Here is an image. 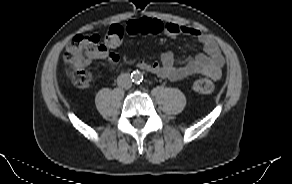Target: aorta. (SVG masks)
I'll return each instance as SVG.
<instances>
[{
  "label": "aorta",
  "instance_id": "1",
  "mask_svg": "<svg viewBox=\"0 0 292 184\" xmlns=\"http://www.w3.org/2000/svg\"><path fill=\"white\" fill-rule=\"evenodd\" d=\"M132 78L135 82H137V81L141 80V75L139 73H134L132 75Z\"/></svg>",
  "mask_w": 292,
  "mask_h": 184
}]
</instances>
